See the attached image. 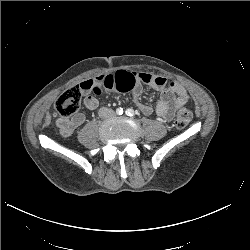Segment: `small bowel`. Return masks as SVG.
Listing matches in <instances>:
<instances>
[{"instance_id": "1", "label": "small bowel", "mask_w": 250, "mask_h": 250, "mask_svg": "<svg viewBox=\"0 0 250 250\" xmlns=\"http://www.w3.org/2000/svg\"><path fill=\"white\" fill-rule=\"evenodd\" d=\"M143 84L160 91V99L154 109L140 101ZM80 88L84 97V105L89 110H95L99 105L97 98L91 94L95 88L101 91H115L119 93L131 91L136 105L143 114L151 115L155 113L158 118L164 121H170L175 111L188 102V94L179 84L168 81L161 76L147 73L117 71L102 74L95 78L84 80L80 83ZM84 122L85 115L76 113L71 118L57 119L56 125L61 136L69 137Z\"/></svg>"}]
</instances>
